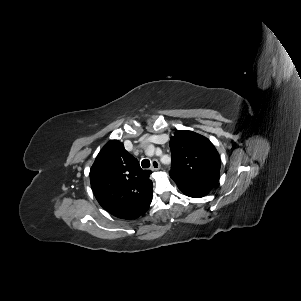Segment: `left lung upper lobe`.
Returning a JSON list of instances; mask_svg holds the SVG:
<instances>
[{"label":"left lung upper lobe","instance_id":"left-lung-upper-lobe-1","mask_svg":"<svg viewBox=\"0 0 301 301\" xmlns=\"http://www.w3.org/2000/svg\"><path fill=\"white\" fill-rule=\"evenodd\" d=\"M171 178L182 192L207 195L218 183L220 156L206 137L180 130L169 142Z\"/></svg>","mask_w":301,"mask_h":301}]
</instances>
